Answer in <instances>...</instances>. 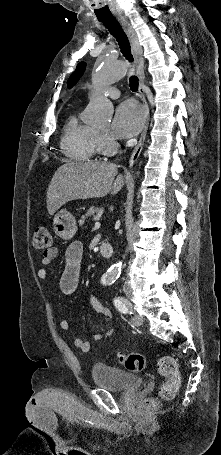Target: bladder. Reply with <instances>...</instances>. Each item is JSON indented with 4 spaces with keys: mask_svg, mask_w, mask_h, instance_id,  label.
Instances as JSON below:
<instances>
[{
    "mask_svg": "<svg viewBox=\"0 0 221 455\" xmlns=\"http://www.w3.org/2000/svg\"><path fill=\"white\" fill-rule=\"evenodd\" d=\"M91 374L96 386L113 391L128 392L139 389L143 384L142 377L104 364H94Z\"/></svg>",
    "mask_w": 221,
    "mask_h": 455,
    "instance_id": "obj_1",
    "label": "bladder"
}]
</instances>
